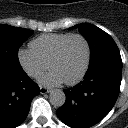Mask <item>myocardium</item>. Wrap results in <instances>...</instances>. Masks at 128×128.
Returning <instances> with one entry per match:
<instances>
[{
  "label": "myocardium",
  "instance_id": "f54148a6",
  "mask_svg": "<svg viewBox=\"0 0 128 128\" xmlns=\"http://www.w3.org/2000/svg\"><path fill=\"white\" fill-rule=\"evenodd\" d=\"M74 38H79L84 42L85 47H86V59H85L83 69L81 70L79 75L77 77H75L74 79H72V80L64 81V83L66 85H69V86L79 83L84 78V76L86 75V73L89 69L90 62H91V54H92L91 53V45H90L89 40L82 34H71V35H69L65 40H63L61 42V44L59 45L55 54L52 56V58L48 62V68L50 69L52 64L55 63L57 60H59L61 58V56L64 52V49H65L66 45L68 44V42L70 40L74 39Z\"/></svg>",
  "mask_w": 128,
  "mask_h": 128
}]
</instances>
